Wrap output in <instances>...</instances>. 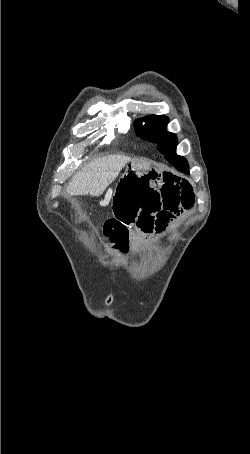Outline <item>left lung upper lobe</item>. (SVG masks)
I'll return each instance as SVG.
<instances>
[{"label":"left lung upper lobe","instance_id":"1","mask_svg":"<svg viewBox=\"0 0 250 454\" xmlns=\"http://www.w3.org/2000/svg\"><path fill=\"white\" fill-rule=\"evenodd\" d=\"M168 118L164 115H149L135 121L138 136L157 144L158 150L169 160L178 157L175 153L177 136L166 131Z\"/></svg>","mask_w":250,"mask_h":454}]
</instances>
